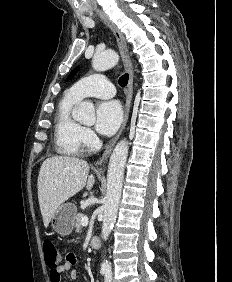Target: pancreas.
Instances as JSON below:
<instances>
[{
	"instance_id": "1",
	"label": "pancreas",
	"mask_w": 232,
	"mask_h": 282,
	"mask_svg": "<svg viewBox=\"0 0 232 282\" xmlns=\"http://www.w3.org/2000/svg\"><path fill=\"white\" fill-rule=\"evenodd\" d=\"M85 215L83 213H78L75 217L76 221H75V228L77 232L81 231L82 228V224H81V219L84 217Z\"/></svg>"
}]
</instances>
